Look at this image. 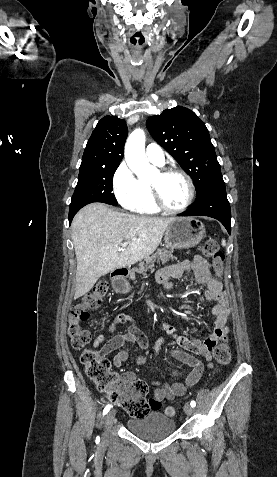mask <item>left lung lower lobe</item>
<instances>
[{
  "label": "left lung lower lobe",
  "mask_w": 277,
  "mask_h": 477,
  "mask_svg": "<svg viewBox=\"0 0 277 477\" xmlns=\"http://www.w3.org/2000/svg\"><path fill=\"white\" fill-rule=\"evenodd\" d=\"M179 216H208L219 220L231 233V211L222 175L209 181L195 204Z\"/></svg>",
  "instance_id": "obj_1"
}]
</instances>
